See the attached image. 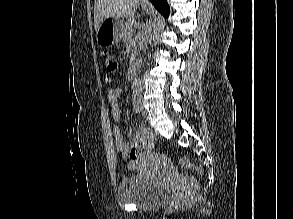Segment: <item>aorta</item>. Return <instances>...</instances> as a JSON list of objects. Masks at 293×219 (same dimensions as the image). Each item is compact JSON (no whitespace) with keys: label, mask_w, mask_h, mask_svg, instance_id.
Masks as SVG:
<instances>
[{"label":"aorta","mask_w":293,"mask_h":219,"mask_svg":"<svg viewBox=\"0 0 293 219\" xmlns=\"http://www.w3.org/2000/svg\"><path fill=\"white\" fill-rule=\"evenodd\" d=\"M157 18H155L152 22V26H150L147 36L145 38V45L150 44L153 39H154V28H155V24L157 22ZM133 89L135 92H140L142 90V82L140 80V78L138 76H136V78L133 81Z\"/></svg>","instance_id":"1"}]
</instances>
